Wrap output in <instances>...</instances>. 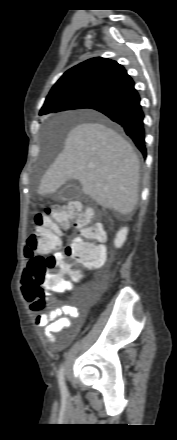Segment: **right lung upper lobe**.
Wrapping results in <instances>:
<instances>
[{
	"label": "right lung upper lobe",
	"instance_id": "obj_1",
	"mask_svg": "<svg viewBox=\"0 0 177 440\" xmlns=\"http://www.w3.org/2000/svg\"><path fill=\"white\" fill-rule=\"evenodd\" d=\"M132 83L133 80L122 65L107 58L96 57L66 71L47 97L61 92H79L99 99Z\"/></svg>",
	"mask_w": 177,
	"mask_h": 440
}]
</instances>
